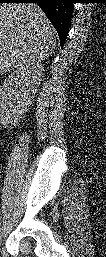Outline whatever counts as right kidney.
Instances as JSON below:
<instances>
[{"mask_svg": "<svg viewBox=\"0 0 106 257\" xmlns=\"http://www.w3.org/2000/svg\"><path fill=\"white\" fill-rule=\"evenodd\" d=\"M39 64L23 65L13 71L0 86L2 123L15 124L30 105L41 82Z\"/></svg>", "mask_w": 106, "mask_h": 257, "instance_id": "right-kidney-1", "label": "right kidney"}]
</instances>
